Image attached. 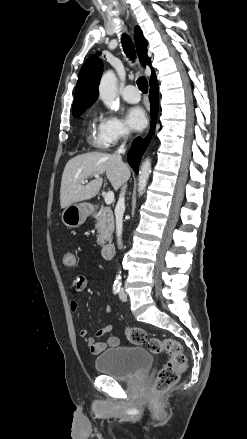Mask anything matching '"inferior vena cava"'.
I'll return each instance as SVG.
<instances>
[{
    "label": "inferior vena cava",
    "instance_id": "602c4592",
    "mask_svg": "<svg viewBox=\"0 0 247 439\" xmlns=\"http://www.w3.org/2000/svg\"><path fill=\"white\" fill-rule=\"evenodd\" d=\"M125 145L122 144L120 148L115 153L116 157L122 161L121 153L125 152ZM125 189L126 185L123 186L119 200L117 202V205L115 207V218H116V235H117V243L119 248L122 247V241H121V235H122V226H123V214L125 211Z\"/></svg>",
    "mask_w": 247,
    "mask_h": 439
}]
</instances>
